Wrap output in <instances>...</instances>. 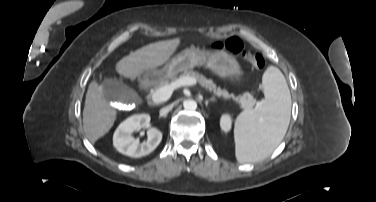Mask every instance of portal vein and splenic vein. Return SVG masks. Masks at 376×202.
I'll return each mask as SVG.
<instances>
[{
  "instance_id": "18ae733b",
  "label": "portal vein and splenic vein",
  "mask_w": 376,
  "mask_h": 202,
  "mask_svg": "<svg viewBox=\"0 0 376 202\" xmlns=\"http://www.w3.org/2000/svg\"><path fill=\"white\" fill-rule=\"evenodd\" d=\"M197 81L192 77H183L178 79L177 81L173 82L170 85L163 86L159 89H157L155 92H153L151 98L156 103H161L167 101L171 95L174 89L180 87V86H193L196 85ZM246 97H249V94H245Z\"/></svg>"
}]
</instances>
